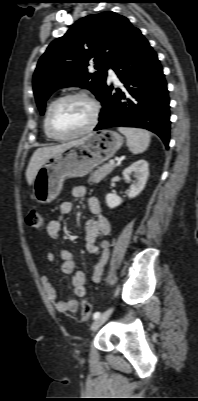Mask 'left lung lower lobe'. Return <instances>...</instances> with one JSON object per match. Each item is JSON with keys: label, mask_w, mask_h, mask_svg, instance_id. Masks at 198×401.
I'll return each instance as SVG.
<instances>
[{"label": "left lung lower lobe", "mask_w": 198, "mask_h": 401, "mask_svg": "<svg viewBox=\"0 0 198 401\" xmlns=\"http://www.w3.org/2000/svg\"><path fill=\"white\" fill-rule=\"evenodd\" d=\"M123 86L112 93L106 84L99 101L102 111L94 130L115 126L148 129L169 144L170 114L167 84L156 52L136 30L112 66Z\"/></svg>", "instance_id": "obj_1"}]
</instances>
